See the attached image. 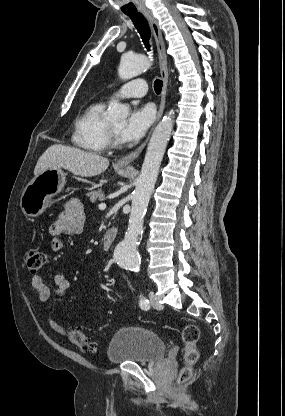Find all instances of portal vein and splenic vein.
<instances>
[{"label":"portal vein and splenic vein","mask_w":285,"mask_h":416,"mask_svg":"<svg viewBox=\"0 0 285 416\" xmlns=\"http://www.w3.org/2000/svg\"><path fill=\"white\" fill-rule=\"evenodd\" d=\"M98 208L99 210H105L106 204H99Z\"/></svg>","instance_id":"1"}]
</instances>
